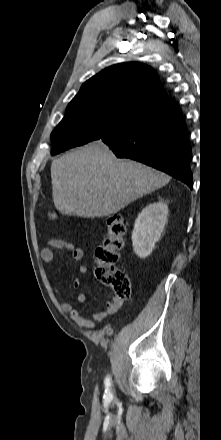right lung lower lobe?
Instances as JSON below:
<instances>
[{"label": "right lung lower lobe", "mask_w": 221, "mask_h": 440, "mask_svg": "<svg viewBox=\"0 0 221 440\" xmlns=\"http://www.w3.org/2000/svg\"><path fill=\"white\" fill-rule=\"evenodd\" d=\"M100 140L118 158L142 162L192 188L187 129L181 109L170 96L136 110Z\"/></svg>", "instance_id": "obj_1"}]
</instances>
